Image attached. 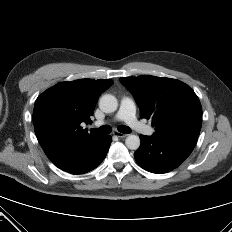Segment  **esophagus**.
I'll use <instances>...</instances> for the list:
<instances>
[{"label":"esophagus","mask_w":232,"mask_h":232,"mask_svg":"<svg viewBox=\"0 0 232 232\" xmlns=\"http://www.w3.org/2000/svg\"><path fill=\"white\" fill-rule=\"evenodd\" d=\"M113 135L116 136V137H118V138H125V137L128 136L127 134H123V133H121L119 131H114Z\"/></svg>","instance_id":"1"}]
</instances>
